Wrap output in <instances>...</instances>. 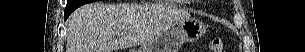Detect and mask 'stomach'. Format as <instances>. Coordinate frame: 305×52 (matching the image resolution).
Here are the masks:
<instances>
[{"label":"stomach","mask_w":305,"mask_h":52,"mask_svg":"<svg viewBox=\"0 0 305 52\" xmlns=\"http://www.w3.org/2000/svg\"><path fill=\"white\" fill-rule=\"evenodd\" d=\"M205 25L197 19H188L162 31L135 52H178L182 44L196 41L205 33Z\"/></svg>","instance_id":"obj_1"}]
</instances>
